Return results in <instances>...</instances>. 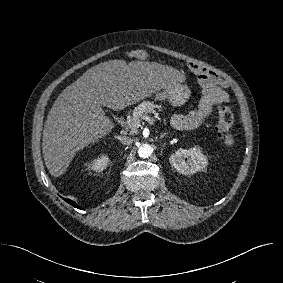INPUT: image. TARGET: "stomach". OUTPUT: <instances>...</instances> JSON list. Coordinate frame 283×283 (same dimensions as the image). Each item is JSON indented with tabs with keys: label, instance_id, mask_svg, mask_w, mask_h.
Segmentation results:
<instances>
[{
	"label": "stomach",
	"instance_id": "0dacf381",
	"mask_svg": "<svg viewBox=\"0 0 283 283\" xmlns=\"http://www.w3.org/2000/svg\"><path fill=\"white\" fill-rule=\"evenodd\" d=\"M190 96V90L187 86L175 84L164 88L155 94V99L159 101L167 100L173 106L183 105Z\"/></svg>",
	"mask_w": 283,
	"mask_h": 283
}]
</instances>
